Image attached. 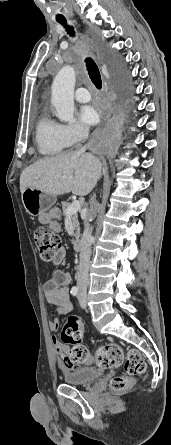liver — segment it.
I'll list each match as a JSON object with an SVG mask.
<instances>
[{"mask_svg": "<svg viewBox=\"0 0 171 445\" xmlns=\"http://www.w3.org/2000/svg\"><path fill=\"white\" fill-rule=\"evenodd\" d=\"M101 174V162L84 152H65L41 159L25 168L20 175V191L36 188L57 196L72 192L85 196Z\"/></svg>", "mask_w": 171, "mask_h": 445, "instance_id": "1", "label": "liver"}]
</instances>
